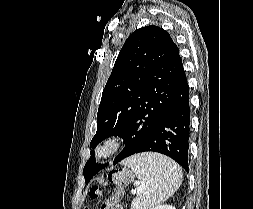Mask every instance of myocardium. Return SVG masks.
I'll list each match as a JSON object with an SVG mask.
<instances>
[{"mask_svg":"<svg viewBox=\"0 0 253 209\" xmlns=\"http://www.w3.org/2000/svg\"><path fill=\"white\" fill-rule=\"evenodd\" d=\"M121 146V138L117 135H110L99 143L94 150L96 162H102L112 156Z\"/></svg>","mask_w":253,"mask_h":209,"instance_id":"myocardium-1","label":"myocardium"}]
</instances>
